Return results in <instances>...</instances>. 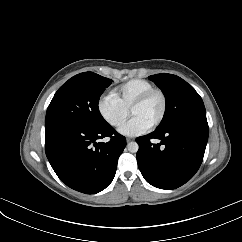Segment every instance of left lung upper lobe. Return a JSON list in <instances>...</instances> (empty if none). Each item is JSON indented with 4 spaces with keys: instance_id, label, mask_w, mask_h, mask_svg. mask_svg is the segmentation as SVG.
I'll return each instance as SVG.
<instances>
[{
    "instance_id": "obj_1",
    "label": "left lung upper lobe",
    "mask_w": 242,
    "mask_h": 242,
    "mask_svg": "<svg viewBox=\"0 0 242 242\" xmlns=\"http://www.w3.org/2000/svg\"><path fill=\"white\" fill-rule=\"evenodd\" d=\"M164 93L166 111L157 130L166 129L191 117H206L203 101L195 89L182 78L172 74L149 76Z\"/></svg>"
}]
</instances>
